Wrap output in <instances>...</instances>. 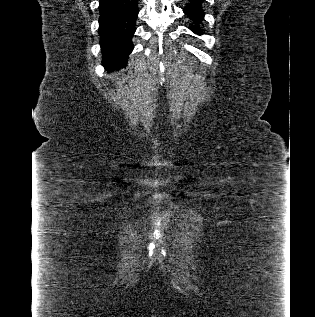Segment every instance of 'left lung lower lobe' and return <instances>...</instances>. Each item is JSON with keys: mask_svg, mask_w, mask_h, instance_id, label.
<instances>
[{"mask_svg": "<svg viewBox=\"0 0 315 317\" xmlns=\"http://www.w3.org/2000/svg\"><path fill=\"white\" fill-rule=\"evenodd\" d=\"M204 0H189V4L184 8V13L195 23L200 24L204 17V12L201 8V3ZM190 29L198 34L203 32L197 26H192Z\"/></svg>", "mask_w": 315, "mask_h": 317, "instance_id": "obj_1", "label": "left lung lower lobe"}]
</instances>
